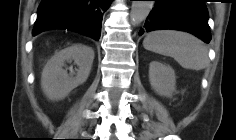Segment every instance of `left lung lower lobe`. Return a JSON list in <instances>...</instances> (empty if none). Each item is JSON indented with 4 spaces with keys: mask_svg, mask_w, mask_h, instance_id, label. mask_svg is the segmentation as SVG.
I'll use <instances>...</instances> for the list:
<instances>
[{
    "mask_svg": "<svg viewBox=\"0 0 236 140\" xmlns=\"http://www.w3.org/2000/svg\"><path fill=\"white\" fill-rule=\"evenodd\" d=\"M144 31L174 29L194 34L204 42L211 40L205 0H154Z\"/></svg>",
    "mask_w": 236,
    "mask_h": 140,
    "instance_id": "obj_1",
    "label": "left lung lower lobe"
}]
</instances>
